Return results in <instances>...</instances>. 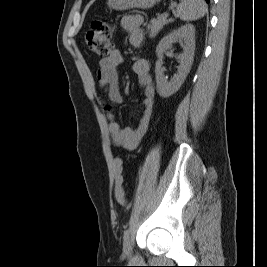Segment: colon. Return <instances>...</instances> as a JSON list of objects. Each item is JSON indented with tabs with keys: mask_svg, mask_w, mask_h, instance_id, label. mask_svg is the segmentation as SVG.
Listing matches in <instances>:
<instances>
[{
	"mask_svg": "<svg viewBox=\"0 0 267 267\" xmlns=\"http://www.w3.org/2000/svg\"><path fill=\"white\" fill-rule=\"evenodd\" d=\"M113 25L95 20L91 24L90 30L86 35V42L89 49L101 57H108L113 51ZM114 167V194L117 202L121 205L126 203L125 192L123 188V160L115 158L113 162Z\"/></svg>",
	"mask_w": 267,
	"mask_h": 267,
	"instance_id": "obj_1",
	"label": "colon"
}]
</instances>
